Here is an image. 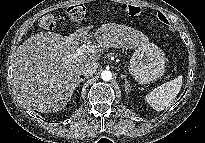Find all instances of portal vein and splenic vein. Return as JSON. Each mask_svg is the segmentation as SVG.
<instances>
[{"mask_svg": "<svg viewBox=\"0 0 205 143\" xmlns=\"http://www.w3.org/2000/svg\"><path fill=\"white\" fill-rule=\"evenodd\" d=\"M83 50H89L90 52H96L97 51V47L92 45V44H90L89 42H87V43L83 44L79 49H77L75 53L69 54L68 58H71V57H73L75 55L82 54Z\"/></svg>", "mask_w": 205, "mask_h": 143, "instance_id": "obj_1", "label": "portal vein and splenic vein"}]
</instances>
